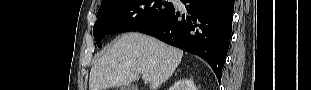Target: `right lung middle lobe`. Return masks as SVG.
I'll return each instance as SVG.
<instances>
[{
  "label": "right lung middle lobe",
  "instance_id": "obj_1",
  "mask_svg": "<svg viewBox=\"0 0 311 90\" xmlns=\"http://www.w3.org/2000/svg\"><path fill=\"white\" fill-rule=\"evenodd\" d=\"M174 8L164 0H106L97 13L93 28L97 46L110 34L138 31L161 20Z\"/></svg>",
  "mask_w": 311,
  "mask_h": 90
}]
</instances>
